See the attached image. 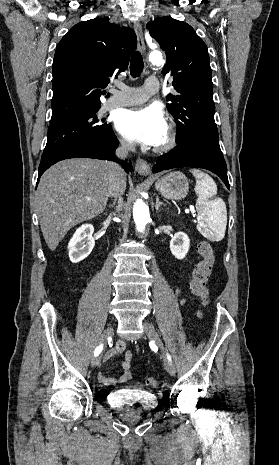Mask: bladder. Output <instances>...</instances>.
Listing matches in <instances>:
<instances>
[{
	"label": "bladder",
	"mask_w": 279,
	"mask_h": 465,
	"mask_svg": "<svg viewBox=\"0 0 279 465\" xmlns=\"http://www.w3.org/2000/svg\"><path fill=\"white\" fill-rule=\"evenodd\" d=\"M108 402L117 410L127 413L152 411L158 405V400L153 393L127 389H120L109 393Z\"/></svg>",
	"instance_id": "31cf9c89"
}]
</instances>
